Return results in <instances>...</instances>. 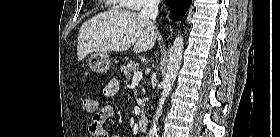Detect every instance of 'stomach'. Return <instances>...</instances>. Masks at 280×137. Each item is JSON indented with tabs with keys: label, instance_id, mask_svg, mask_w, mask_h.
Masks as SVG:
<instances>
[{
	"label": "stomach",
	"instance_id": "0dacf381",
	"mask_svg": "<svg viewBox=\"0 0 280 137\" xmlns=\"http://www.w3.org/2000/svg\"><path fill=\"white\" fill-rule=\"evenodd\" d=\"M110 65L111 61L107 53L95 52L88 60L89 68L95 73H106Z\"/></svg>",
	"mask_w": 280,
	"mask_h": 137
}]
</instances>
